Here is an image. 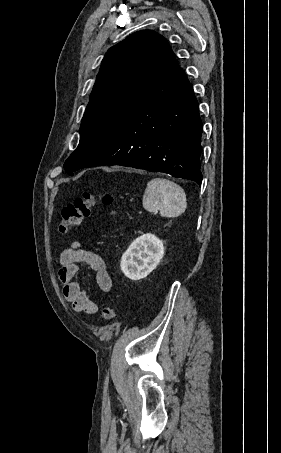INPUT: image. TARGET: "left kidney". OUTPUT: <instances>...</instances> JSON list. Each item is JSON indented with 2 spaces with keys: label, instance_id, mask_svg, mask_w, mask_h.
I'll return each mask as SVG.
<instances>
[{
  "label": "left kidney",
  "instance_id": "obj_1",
  "mask_svg": "<svg viewBox=\"0 0 281 453\" xmlns=\"http://www.w3.org/2000/svg\"><path fill=\"white\" fill-rule=\"evenodd\" d=\"M162 257H164V247L162 241L155 235L147 233L135 239L121 257V271L125 277L132 281L145 279L151 271L156 269Z\"/></svg>",
  "mask_w": 281,
  "mask_h": 453
}]
</instances>
